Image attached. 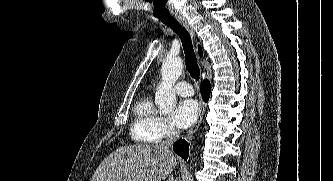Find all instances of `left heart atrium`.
I'll return each mask as SVG.
<instances>
[{
  "label": "left heart atrium",
  "instance_id": "left-heart-atrium-1",
  "mask_svg": "<svg viewBox=\"0 0 333 181\" xmlns=\"http://www.w3.org/2000/svg\"><path fill=\"white\" fill-rule=\"evenodd\" d=\"M199 107L198 103L193 99L181 100L174 111L173 119L176 125L180 128H188L198 118Z\"/></svg>",
  "mask_w": 333,
  "mask_h": 181
}]
</instances>
